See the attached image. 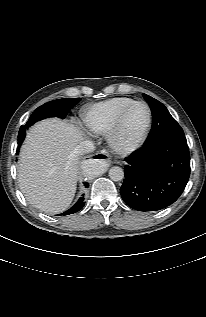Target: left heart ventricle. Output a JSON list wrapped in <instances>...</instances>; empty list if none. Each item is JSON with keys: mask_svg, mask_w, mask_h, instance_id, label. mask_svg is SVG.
<instances>
[{"mask_svg": "<svg viewBox=\"0 0 206 317\" xmlns=\"http://www.w3.org/2000/svg\"><path fill=\"white\" fill-rule=\"evenodd\" d=\"M147 121V110L139 104L133 106L126 114L119 138L124 143L134 142L145 127Z\"/></svg>", "mask_w": 206, "mask_h": 317, "instance_id": "1", "label": "left heart ventricle"}]
</instances>
